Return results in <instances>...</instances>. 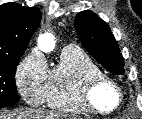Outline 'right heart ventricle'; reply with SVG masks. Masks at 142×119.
Instances as JSON below:
<instances>
[{"mask_svg": "<svg viewBox=\"0 0 142 119\" xmlns=\"http://www.w3.org/2000/svg\"><path fill=\"white\" fill-rule=\"evenodd\" d=\"M99 74H102L100 68L82 49L65 47L48 72L43 103L55 110L86 114L88 111L78 98V90L86 78Z\"/></svg>", "mask_w": 142, "mask_h": 119, "instance_id": "1", "label": "right heart ventricle"}]
</instances>
